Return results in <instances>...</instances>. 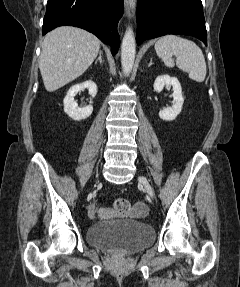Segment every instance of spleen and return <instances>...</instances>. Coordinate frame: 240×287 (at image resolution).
<instances>
[{"instance_id":"3e777b00","label":"spleen","mask_w":240,"mask_h":287,"mask_svg":"<svg viewBox=\"0 0 240 287\" xmlns=\"http://www.w3.org/2000/svg\"><path fill=\"white\" fill-rule=\"evenodd\" d=\"M157 55L167 67L176 65L189 74L190 79L203 82L206 77V62L202 50L196 43L177 35L169 34L161 37L155 43Z\"/></svg>"}]
</instances>
